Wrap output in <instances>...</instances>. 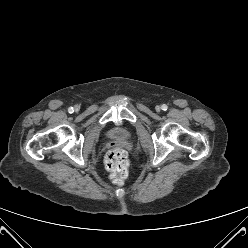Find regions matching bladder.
I'll list each match as a JSON object with an SVG mask.
<instances>
[{
    "label": "bladder",
    "instance_id": "bladder-1",
    "mask_svg": "<svg viewBox=\"0 0 248 248\" xmlns=\"http://www.w3.org/2000/svg\"><path fill=\"white\" fill-rule=\"evenodd\" d=\"M129 135H130L129 131L124 128L116 127L110 130V136L113 138L127 139Z\"/></svg>",
    "mask_w": 248,
    "mask_h": 248
}]
</instances>
